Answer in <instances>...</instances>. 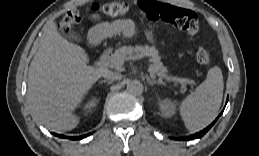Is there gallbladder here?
<instances>
[{"label":"gallbladder","instance_id":"gallbladder-1","mask_svg":"<svg viewBox=\"0 0 259 156\" xmlns=\"http://www.w3.org/2000/svg\"><path fill=\"white\" fill-rule=\"evenodd\" d=\"M69 38H70L71 40H73V41H76V42H80V41H81L80 35H79L78 33H75V32L70 33V34H69Z\"/></svg>","mask_w":259,"mask_h":156}]
</instances>
